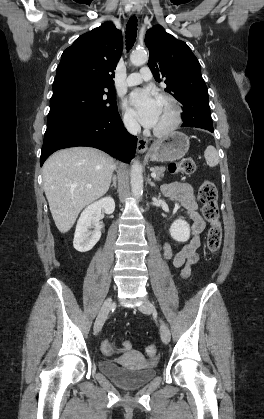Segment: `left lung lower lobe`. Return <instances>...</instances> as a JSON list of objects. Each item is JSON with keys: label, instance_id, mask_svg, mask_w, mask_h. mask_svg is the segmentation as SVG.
Returning <instances> with one entry per match:
<instances>
[{"label": "left lung lower lobe", "instance_id": "obj_1", "mask_svg": "<svg viewBox=\"0 0 264 419\" xmlns=\"http://www.w3.org/2000/svg\"><path fill=\"white\" fill-rule=\"evenodd\" d=\"M182 127H197L213 132V123L208 101L198 103L194 107L187 106L183 109Z\"/></svg>", "mask_w": 264, "mask_h": 419}]
</instances>
